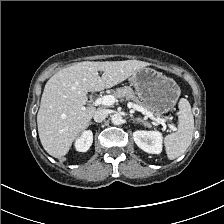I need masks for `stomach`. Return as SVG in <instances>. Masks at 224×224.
I'll return each instance as SVG.
<instances>
[{
  "label": "stomach",
  "mask_w": 224,
  "mask_h": 224,
  "mask_svg": "<svg viewBox=\"0 0 224 224\" xmlns=\"http://www.w3.org/2000/svg\"><path fill=\"white\" fill-rule=\"evenodd\" d=\"M135 91L152 113L163 114L176 104L181 90L172 79L152 68H142L130 78Z\"/></svg>",
  "instance_id": "obj_1"
}]
</instances>
